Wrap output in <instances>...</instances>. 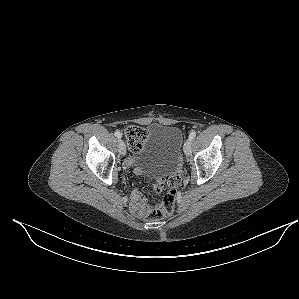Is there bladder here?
<instances>
[{"instance_id":"obj_1","label":"bladder","mask_w":299,"mask_h":299,"mask_svg":"<svg viewBox=\"0 0 299 299\" xmlns=\"http://www.w3.org/2000/svg\"><path fill=\"white\" fill-rule=\"evenodd\" d=\"M181 131L175 126L154 124L150 135L135 157L143 172L158 175L177 167L181 155Z\"/></svg>"}]
</instances>
